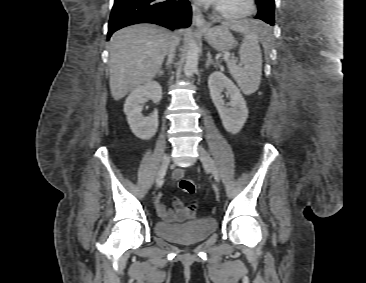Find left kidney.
Wrapping results in <instances>:
<instances>
[{"instance_id":"obj_1","label":"left kidney","mask_w":366,"mask_h":283,"mask_svg":"<svg viewBox=\"0 0 366 283\" xmlns=\"http://www.w3.org/2000/svg\"><path fill=\"white\" fill-rule=\"evenodd\" d=\"M211 99L218 110L222 124L227 132L236 134L240 132L248 118L246 101L238 87L223 73L215 71L208 79ZM230 101L225 103L222 92Z\"/></svg>"}]
</instances>
